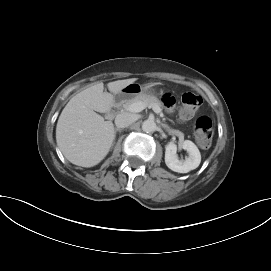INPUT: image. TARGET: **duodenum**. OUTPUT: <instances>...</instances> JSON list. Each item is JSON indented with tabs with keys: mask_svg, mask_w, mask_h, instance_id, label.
<instances>
[{
	"mask_svg": "<svg viewBox=\"0 0 271 271\" xmlns=\"http://www.w3.org/2000/svg\"><path fill=\"white\" fill-rule=\"evenodd\" d=\"M123 99V95L122 94H118L114 97V101H113V110L109 113V116H112L114 113V110L119 106V104L121 103Z\"/></svg>",
	"mask_w": 271,
	"mask_h": 271,
	"instance_id": "obj_1",
	"label": "duodenum"
}]
</instances>
